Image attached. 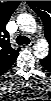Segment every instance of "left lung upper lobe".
I'll list each match as a JSON object with an SVG mask.
<instances>
[{"label":"left lung upper lobe","instance_id":"obj_1","mask_svg":"<svg viewBox=\"0 0 51 101\" xmlns=\"http://www.w3.org/2000/svg\"><path fill=\"white\" fill-rule=\"evenodd\" d=\"M27 3L31 9L34 10L42 19L44 25V34L47 40H49L51 37V2L27 1ZM46 58H49V55Z\"/></svg>","mask_w":51,"mask_h":101}]
</instances>
